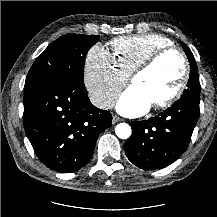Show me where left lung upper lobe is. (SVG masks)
<instances>
[{"label": "left lung upper lobe", "mask_w": 217, "mask_h": 217, "mask_svg": "<svg viewBox=\"0 0 217 217\" xmlns=\"http://www.w3.org/2000/svg\"><path fill=\"white\" fill-rule=\"evenodd\" d=\"M181 45L189 59L190 62V78L187 83V89L184 90L183 95L181 97H187L194 100H200V82H199V74L197 69V64L195 58L191 52V50L186 46L183 42Z\"/></svg>", "instance_id": "obj_1"}]
</instances>
